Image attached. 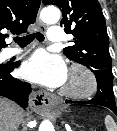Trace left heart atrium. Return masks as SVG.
<instances>
[{
	"label": "left heart atrium",
	"mask_w": 117,
	"mask_h": 131,
	"mask_svg": "<svg viewBox=\"0 0 117 131\" xmlns=\"http://www.w3.org/2000/svg\"><path fill=\"white\" fill-rule=\"evenodd\" d=\"M21 73L24 78L48 87L63 85L68 76L62 59L43 50L37 51L24 62Z\"/></svg>",
	"instance_id": "obj_1"
}]
</instances>
